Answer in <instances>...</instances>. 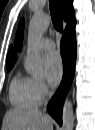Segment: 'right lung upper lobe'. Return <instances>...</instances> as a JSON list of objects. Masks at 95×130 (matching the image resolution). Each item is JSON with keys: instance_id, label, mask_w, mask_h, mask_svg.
<instances>
[{"instance_id": "obj_1", "label": "right lung upper lobe", "mask_w": 95, "mask_h": 130, "mask_svg": "<svg viewBox=\"0 0 95 130\" xmlns=\"http://www.w3.org/2000/svg\"><path fill=\"white\" fill-rule=\"evenodd\" d=\"M60 5L62 8L64 20L67 22L65 32L73 30L76 25L75 12L73 9V0H60ZM15 60H16V54L11 47L7 55V64H6L7 69L12 68Z\"/></svg>"}]
</instances>
